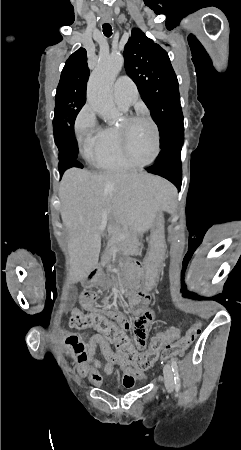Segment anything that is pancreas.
Here are the masks:
<instances>
[{
	"mask_svg": "<svg viewBox=\"0 0 241 450\" xmlns=\"http://www.w3.org/2000/svg\"><path fill=\"white\" fill-rule=\"evenodd\" d=\"M131 230V229H130ZM122 231H126L127 233L126 234H122L121 232ZM111 234H112V232H111V230H110V232H109V236H111ZM135 235H137V234H135L134 232H128V230H125V228H124V230H114V234H113V238H114V240H121V238H122V240H127V242H136L137 241V238L136 237H134ZM120 236H121V238H120ZM133 237V238H132ZM137 248V247H136ZM130 249L131 250H134L135 249V246L134 245H131L130 246ZM103 264H106V262H103Z\"/></svg>",
	"mask_w": 241,
	"mask_h": 450,
	"instance_id": "obj_1",
	"label": "pancreas"
}]
</instances>
